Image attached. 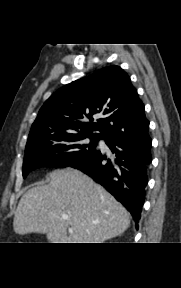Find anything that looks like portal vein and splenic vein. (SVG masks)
Returning a JSON list of instances; mask_svg holds the SVG:
<instances>
[{
    "label": "portal vein and splenic vein",
    "instance_id": "obj_1",
    "mask_svg": "<svg viewBox=\"0 0 181 288\" xmlns=\"http://www.w3.org/2000/svg\"><path fill=\"white\" fill-rule=\"evenodd\" d=\"M62 219H63V220H67V219H68V216H67V215H63V216H62Z\"/></svg>",
    "mask_w": 181,
    "mask_h": 288
}]
</instances>
